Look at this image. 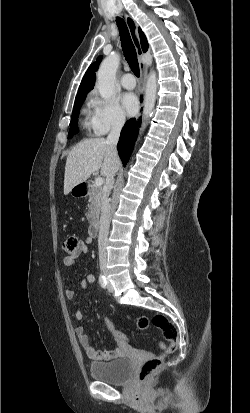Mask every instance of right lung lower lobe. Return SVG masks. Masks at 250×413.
Segmentation results:
<instances>
[{"label":"right lung lower lobe","mask_w":250,"mask_h":413,"mask_svg":"<svg viewBox=\"0 0 250 413\" xmlns=\"http://www.w3.org/2000/svg\"><path fill=\"white\" fill-rule=\"evenodd\" d=\"M140 125V118H132L125 123L121 131V136L117 144V149L124 166L127 164L129 156L131 155L132 147L138 134V127H140Z\"/></svg>","instance_id":"obj_1"}]
</instances>
